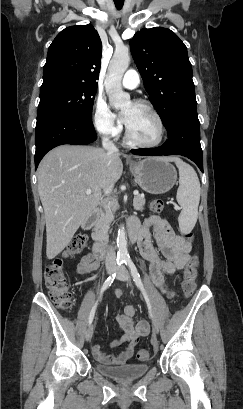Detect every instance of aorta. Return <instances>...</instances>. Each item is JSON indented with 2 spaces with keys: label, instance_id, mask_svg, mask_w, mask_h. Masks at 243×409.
<instances>
[{
  "label": "aorta",
  "instance_id": "aorta-1",
  "mask_svg": "<svg viewBox=\"0 0 243 409\" xmlns=\"http://www.w3.org/2000/svg\"><path fill=\"white\" fill-rule=\"evenodd\" d=\"M130 63L128 51H116L109 64L105 80V89L109 98V103L114 109H120L130 104V96L122 89V77ZM117 258L126 259L129 254L127 251V238L124 226H121L117 235Z\"/></svg>",
  "mask_w": 243,
  "mask_h": 409
}]
</instances>
